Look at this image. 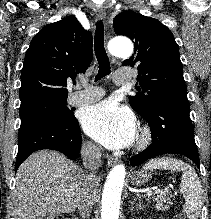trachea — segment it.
<instances>
[{"instance_id": "3493384b", "label": "trachea", "mask_w": 211, "mask_h": 219, "mask_svg": "<svg viewBox=\"0 0 211 219\" xmlns=\"http://www.w3.org/2000/svg\"><path fill=\"white\" fill-rule=\"evenodd\" d=\"M94 51L99 64V71L95 78V81H98L110 74V62L104 47V26L101 20L96 23Z\"/></svg>"}]
</instances>
